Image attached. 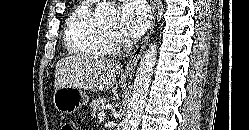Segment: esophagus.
I'll list each match as a JSON object with an SVG mask.
<instances>
[{
	"mask_svg": "<svg viewBox=\"0 0 249 130\" xmlns=\"http://www.w3.org/2000/svg\"><path fill=\"white\" fill-rule=\"evenodd\" d=\"M150 3H151V9H152V20H151V24L147 30V33L146 35L144 36V38L142 39V41L137 45L136 49L134 50V52L132 53L131 57L129 58L128 60V63L125 67V71H124V74L125 75H130L134 72L136 66H137V63H138V60L140 59L141 57V54L143 52V50L145 49L148 41H149V38L153 32V28H154V25H155V21H156V14H157V10H156V2L155 0H150Z\"/></svg>",
	"mask_w": 249,
	"mask_h": 130,
	"instance_id": "34e87169",
	"label": "esophagus"
}]
</instances>
